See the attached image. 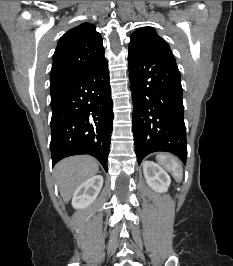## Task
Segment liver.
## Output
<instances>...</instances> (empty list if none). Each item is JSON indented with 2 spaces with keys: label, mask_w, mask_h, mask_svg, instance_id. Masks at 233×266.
Returning <instances> with one entry per match:
<instances>
[{
  "label": "liver",
  "mask_w": 233,
  "mask_h": 266,
  "mask_svg": "<svg viewBox=\"0 0 233 266\" xmlns=\"http://www.w3.org/2000/svg\"><path fill=\"white\" fill-rule=\"evenodd\" d=\"M99 171L98 162L87 155L73 156L61 160L54 168L58 188L67 203L75 190Z\"/></svg>",
  "instance_id": "6515ba94"
}]
</instances>
